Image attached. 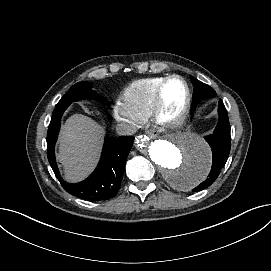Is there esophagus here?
I'll return each mask as SVG.
<instances>
[{"mask_svg":"<svg viewBox=\"0 0 271 271\" xmlns=\"http://www.w3.org/2000/svg\"><path fill=\"white\" fill-rule=\"evenodd\" d=\"M146 134L151 138V139H156L159 136V133L155 129H149L147 130Z\"/></svg>","mask_w":271,"mask_h":271,"instance_id":"34e87169","label":"esophagus"}]
</instances>
